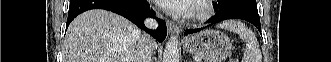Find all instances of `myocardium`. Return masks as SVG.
I'll return each mask as SVG.
<instances>
[{
    "label": "myocardium",
    "mask_w": 331,
    "mask_h": 62,
    "mask_svg": "<svg viewBox=\"0 0 331 62\" xmlns=\"http://www.w3.org/2000/svg\"><path fill=\"white\" fill-rule=\"evenodd\" d=\"M214 8L212 1L198 0L194 3V10L190 15L193 22H204L212 17Z\"/></svg>",
    "instance_id": "1"
}]
</instances>
